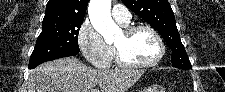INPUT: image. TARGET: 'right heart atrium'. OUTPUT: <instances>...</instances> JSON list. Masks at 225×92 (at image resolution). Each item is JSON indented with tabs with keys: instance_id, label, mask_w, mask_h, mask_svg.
Returning a JSON list of instances; mask_svg holds the SVG:
<instances>
[{
	"instance_id": "d8ad5b80",
	"label": "right heart atrium",
	"mask_w": 225,
	"mask_h": 92,
	"mask_svg": "<svg viewBox=\"0 0 225 92\" xmlns=\"http://www.w3.org/2000/svg\"><path fill=\"white\" fill-rule=\"evenodd\" d=\"M78 45L85 58L96 67L111 64L114 50L107 44L98 30L86 19L82 22L77 35Z\"/></svg>"
}]
</instances>
